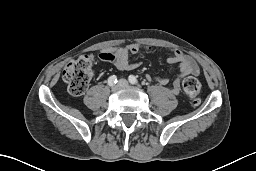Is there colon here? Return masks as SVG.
<instances>
[{
	"label": "colon",
	"mask_w": 256,
	"mask_h": 171,
	"mask_svg": "<svg viewBox=\"0 0 256 171\" xmlns=\"http://www.w3.org/2000/svg\"><path fill=\"white\" fill-rule=\"evenodd\" d=\"M95 56L85 54L77 60L69 62L62 73V78L68 85L71 96L81 95L88 85L94 71ZM183 89L192 106L200 104L201 83L195 77H188L183 81Z\"/></svg>",
	"instance_id": "colon-1"
}]
</instances>
